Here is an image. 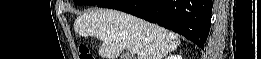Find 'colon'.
Listing matches in <instances>:
<instances>
[{
  "label": "colon",
  "instance_id": "colon-1",
  "mask_svg": "<svg viewBox=\"0 0 261 59\" xmlns=\"http://www.w3.org/2000/svg\"><path fill=\"white\" fill-rule=\"evenodd\" d=\"M79 58L80 59H93V56H92L90 50L86 46H83L80 48Z\"/></svg>",
  "mask_w": 261,
  "mask_h": 59
}]
</instances>
